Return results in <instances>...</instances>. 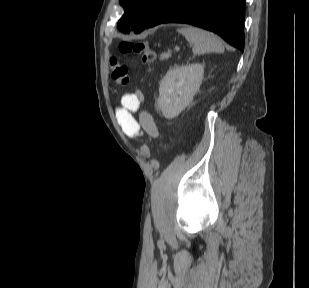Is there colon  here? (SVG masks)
I'll list each match as a JSON object with an SVG mask.
<instances>
[{
	"label": "colon",
	"mask_w": 309,
	"mask_h": 288,
	"mask_svg": "<svg viewBox=\"0 0 309 288\" xmlns=\"http://www.w3.org/2000/svg\"><path fill=\"white\" fill-rule=\"evenodd\" d=\"M120 50L124 54H141L144 64L153 63L157 57L156 52L143 42L123 44L120 47ZM110 65L113 82L120 86L127 85L129 82L128 67L125 64L120 63L116 58L111 59ZM141 152L143 157L146 158L149 156L150 150L148 146L143 145Z\"/></svg>",
	"instance_id": "5ec220e1"
}]
</instances>
